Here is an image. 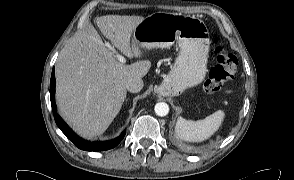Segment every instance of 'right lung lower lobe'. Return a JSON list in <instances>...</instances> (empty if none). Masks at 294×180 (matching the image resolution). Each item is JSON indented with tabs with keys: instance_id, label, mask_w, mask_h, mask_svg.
<instances>
[{
	"instance_id": "1",
	"label": "right lung lower lobe",
	"mask_w": 294,
	"mask_h": 180,
	"mask_svg": "<svg viewBox=\"0 0 294 180\" xmlns=\"http://www.w3.org/2000/svg\"><path fill=\"white\" fill-rule=\"evenodd\" d=\"M54 93H55V76H54V69L52 70L51 81H50V100L53 109V115L55 118V122L60 130L80 149L87 150V151H104L111 148H114L118 145L124 137V132L121 134L120 137L106 142H88L81 138H79L68 126L67 124L61 119V117L57 113L56 104L54 100Z\"/></svg>"
}]
</instances>
